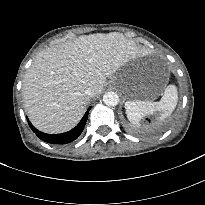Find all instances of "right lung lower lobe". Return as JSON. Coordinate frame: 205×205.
<instances>
[{
	"instance_id": "obj_1",
	"label": "right lung lower lobe",
	"mask_w": 205,
	"mask_h": 205,
	"mask_svg": "<svg viewBox=\"0 0 205 205\" xmlns=\"http://www.w3.org/2000/svg\"><path fill=\"white\" fill-rule=\"evenodd\" d=\"M90 107L88 108L87 112L79 122V124L74 127L72 130L62 133V134H46L43 132L38 131L29 121L28 124L32 131L43 141L52 143V144H66L74 141L83 131L84 126L86 124L88 113Z\"/></svg>"
}]
</instances>
